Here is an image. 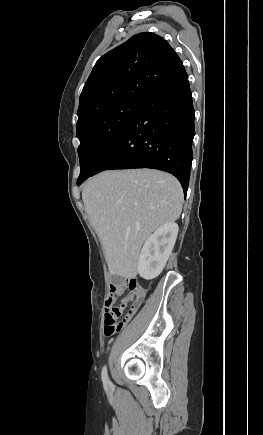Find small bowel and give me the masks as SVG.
Listing matches in <instances>:
<instances>
[{"label":"small bowel","instance_id":"1","mask_svg":"<svg viewBox=\"0 0 263 435\" xmlns=\"http://www.w3.org/2000/svg\"><path fill=\"white\" fill-rule=\"evenodd\" d=\"M116 295L117 294L115 292L111 291V295L108 297V299L105 302V312H107L109 309L113 307L116 300ZM127 322L124 323V326L127 324Z\"/></svg>","mask_w":263,"mask_h":435}]
</instances>
